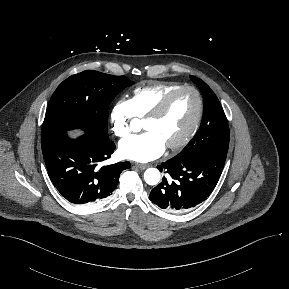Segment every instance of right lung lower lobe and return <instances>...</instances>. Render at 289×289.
<instances>
[{
  "instance_id": "1",
  "label": "right lung lower lobe",
  "mask_w": 289,
  "mask_h": 289,
  "mask_svg": "<svg viewBox=\"0 0 289 289\" xmlns=\"http://www.w3.org/2000/svg\"><path fill=\"white\" fill-rule=\"evenodd\" d=\"M115 149L110 140L88 135L70 139L66 133L42 140L48 174L60 194L73 204H97L110 196L128 162L103 165Z\"/></svg>"
}]
</instances>
